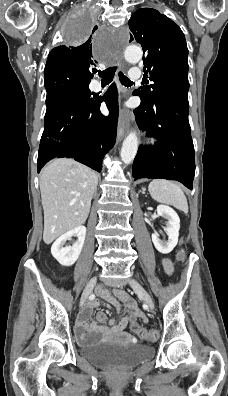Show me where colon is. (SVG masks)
<instances>
[{
  "label": "colon",
  "instance_id": "1",
  "mask_svg": "<svg viewBox=\"0 0 228 396\" xmlns=\"http://www.w3.org/2000/svg\"><path fill=\"white\" fill-rule=\"evenodd\" d=\"M180 259H183V254L179 255ZM130 328L138 333L141 337L145 338L148 341H155L158 338V332L156 330H145L141 328L138 324L132 323Z\"/></svg>",
  "mask_w": 228,
  "mask_h": 396
}]
</instances>
